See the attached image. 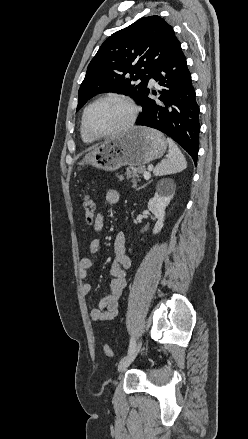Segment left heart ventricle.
Returning a JSON list of instances; mask_svg holds the SVG:
<instances>
[{
    "label": "left heart ventricle",
    "mask_w": 248,
    "mask_h": 439,
    "mask_svg": "<svg viewBox=\"0 0 248 439\" xmlns=\"http://www.w3.org/2000/svg\"><path fill=\"white\" fill-rule=\"evenodd\" d=\"M129 115L130 111L126 105L108 99L98 102L89 110L86 123L90 131L101 134L124 125Z\"/></svg>",
    "instance_id": "obj_1"
}]
</instances>
